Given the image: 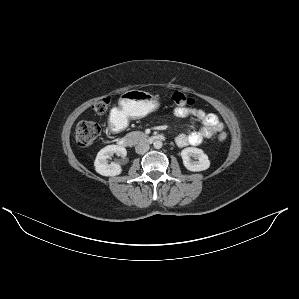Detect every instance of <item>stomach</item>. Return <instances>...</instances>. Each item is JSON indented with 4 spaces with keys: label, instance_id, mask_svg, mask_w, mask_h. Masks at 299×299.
Wrapping results in <instances>:
<instances>
[{
    "label": "stomach",
    "instance_id": "obj_1",
    "mask_svg": "<svg viewBox=\"0 0 299 299\" xmlns=\"http://www.w3.org/2000/svg\"><path fill=\"white\" fill-rule=\"evenodd\" d=\"M158 107V97L145 91L130 90L119 99V110L125 118H143Z\"/></svg>",
    "mask_w": 299,
    "mask_h": 299
}]
</instances>
